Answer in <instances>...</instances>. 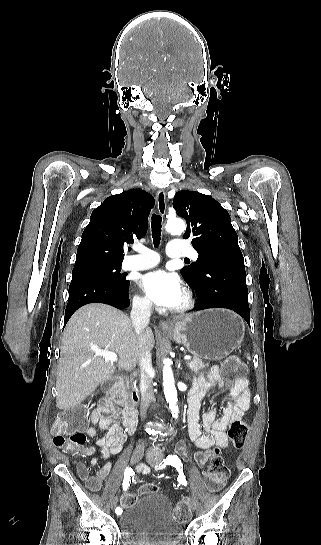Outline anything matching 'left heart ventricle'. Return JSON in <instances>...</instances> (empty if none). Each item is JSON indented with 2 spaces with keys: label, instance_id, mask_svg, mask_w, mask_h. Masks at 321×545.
Returning a JSON list of instances; mask_svg holds the SVG:
<instances>
[{
  "label": "left heart ventricle",
  "instance_id": "1",
  "mask_svg": "<svg viewBox=\"0 0 321 545\" xmlns=\"http://www.w3.org/2000/svg\"><path fill=\"white\" fill-rule=\"evenodd\" d=\"M182 302H183V296H182V299H181V301H180V304H179V306H180V305L182 304Z\"/></svg>",
  "mask_w": 321,
  "mask_h": 545
}]
</instances>
